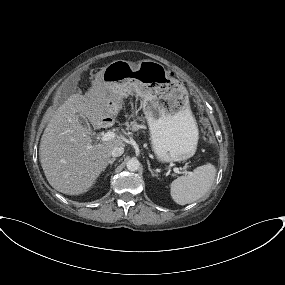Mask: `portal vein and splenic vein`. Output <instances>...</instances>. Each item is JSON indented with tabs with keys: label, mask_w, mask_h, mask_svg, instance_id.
I'll list each match as a JSON object with an SVG mask.
<instances>
[{
	"label": "portal vein and splenic vein",
	"mask_w": 285,
	"mask_h": 285,
	"mask_svg": "<svg viewBox=\"0 0 285 285\" xmlns=\"http://www.w3.org/2000/svg\"><path fill=\"white\" fill-rule=\"evenodd\" d=\"M115 137H116V134H115L114 132L108 131V132H106V133H104V134L102 135L101 141H102V142H105V141H108V140H112V139H114ZM173 171H174L175 173H177V174H180V173H181L180 170H179V168H177V167L173 168ZM182 173L187 174L188 172H187V171H183Z\"/></svg>",
	"instance_id": "obj_1"
}]
</instances>
